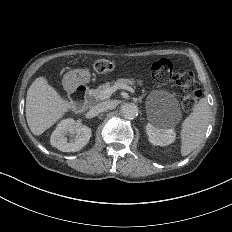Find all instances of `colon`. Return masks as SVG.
Returning a JSON list of instances; mask_svg holds the SVG:
<instances>
[{
  "mask_svg": "<svg viewBox=\"0 0 232 232\" xmlns=\"http://www.w3.org/2000/svg\"><path fill=\"white\" fill-rule=\"evenodd\" d=\"M151 68L155 82H168L177 84V86H185L186 89H183L182 97H180V102H183L181 111L195 110L196 102H200L201 88L192 72L186 69L176 71L162 58L154 59ZM90 70H93L94 73H114L113 61H93Z\"/></svg>",
  "mask_w": 232,
  "mask_h": 232,
  "instance_id": "obj_1",
  "label": "colon"
}]
</instances>
